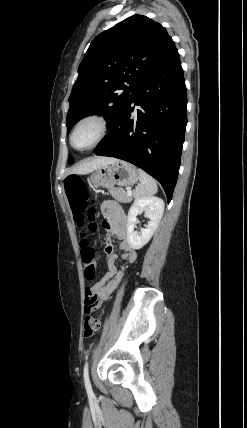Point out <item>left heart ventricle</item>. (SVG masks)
<instances>
[{"mask_svg":"<svg viewBox=\"0 0 247 428\" xmlns=\"http://www.w3.org/2000/svg\"><path fill=\"white\" fill-rule=\"evenodd\" d=\"M98 133V126L93 122H88L82 125L74 136V144L83 148L91 144Z\"/></svg>","mask_w":247,"mask_h":428,"instance_id":"b2bd125f","label":"left heart ventricle"}]
</instances>
